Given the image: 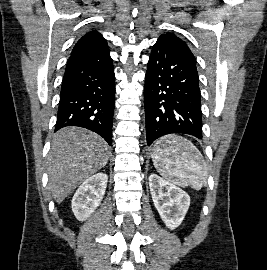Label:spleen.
<instances>
[{
    "label": "spleen",
    "instance_id": "3e777b00",
    "mask_svg": "<svg viewBox=\"0 0 267 270\" xmlns=\"http://www.w3.org/2000/svg\"><path fill=\"white\" fill-rule=\"evenodd\" d=\"M152 161L158 173L168 181L200 190L208 175L206 162L200 151L186 138L171 134L155 145Z\"/></svg>",
    "mask_w": 267,
    "mask_h": 270
}]
</instances>
